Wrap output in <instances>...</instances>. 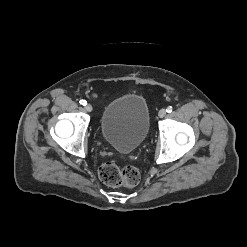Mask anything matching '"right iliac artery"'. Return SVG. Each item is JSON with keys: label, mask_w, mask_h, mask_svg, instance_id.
<instances>
[{"label": "right iliac artery", "mask_w": 247, "mask_h": 247, "mask_svg": "<svg viewBox=\"0 0 247 247\" xmlns=\"http://www.w3.org/2000/svg\"><path fill=\"white\" fill-rule=\"evenodd\" d=\"M79 103H80L81 105H86V104H87L86 100H83V99L80 100Z\"/></svg>", "instance_id": "1"}]
</instances>
